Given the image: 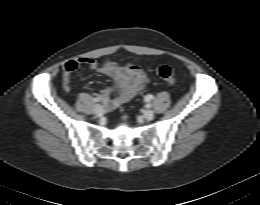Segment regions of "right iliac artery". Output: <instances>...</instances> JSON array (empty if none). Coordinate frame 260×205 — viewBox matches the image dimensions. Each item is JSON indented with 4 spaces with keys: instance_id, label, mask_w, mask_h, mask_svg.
Returning a JSON list of instances; mask_svg holds the SVG:
<instances>
[{
    "instance_id": "obj_1",
    "label": "right iliac artery",
    "mask_w": 260,
    "mask_h": 205,
    "mask_svg": "<svg viewBox=\"0 0 260 205\" xmlns=\"http://www.w3.org/2000/svg\"><path fill=\"white\" fill-rule=\"evenodd\" d=\"M94 101H95V102H99L100 99H99V98H94Z\"/></svg>"
}]
</instances>
